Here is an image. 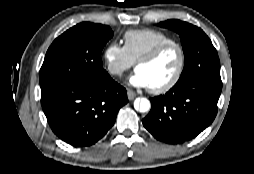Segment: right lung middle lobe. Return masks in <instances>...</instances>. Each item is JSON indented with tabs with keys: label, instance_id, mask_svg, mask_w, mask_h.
I'll return each instance as SVG.
<instances>
[{
	"label": "right lung middle lobe",
	"instance_id": "dd1d6c3e",
	"mask_svg": "<svg viewBox=\"0 0 254 174\" xmlns=\"http://www.w3.org/2000/svg\"><path fill=\"white\" fill-rule=\"evenodd\" d=\"M112 36L109 26L83 22L56 38L40 69L41 91L107 75L100 54Z\"/></svg>",
	"mask_w": 254,
	"mask_h": 174
}]
</instances>
